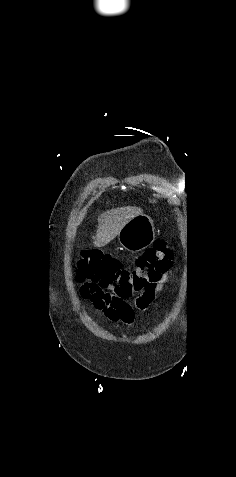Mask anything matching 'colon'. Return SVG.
<instances>
[{"instance_id":"colon-1","label":"colon","mask_w":236,"mask_h":477,"mask_svg":"<svg viewBox=\"0 0 236 477\" xmlns=\"http://www.w3.org/2000/svg\"><path fill=\"white\" fill-rule=\"evenodd\" d=\"M173 254L167 243L158 240L140 256L133 268L100 251L84 252L78 261L76 279L82 284L83 298L94 307L110 305L125 313L131 309L129 299L135 301L159 288L170 270Z\"/></svg>"}]
</instances>
